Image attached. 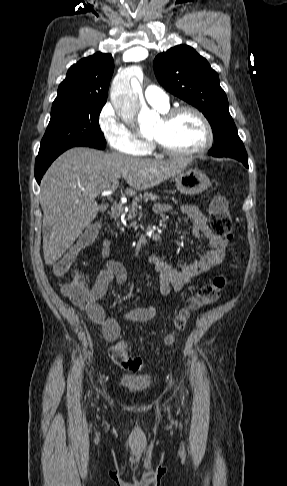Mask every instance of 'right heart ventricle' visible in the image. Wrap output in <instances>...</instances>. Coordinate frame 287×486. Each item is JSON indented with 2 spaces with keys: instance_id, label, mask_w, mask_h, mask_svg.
<instances>
[{
  "instance_id": "e07e8e85",
  "label": "right heart ventricle",
  "mask_w": 287,
  "mask_h": 486,
  "mask_svg": "<svg viewBox=\"0 0 287 486\" xmlns=\"http://www.w3.org/2000/svg\"><path fill=\"white\" fill-rule=\"evenodd\" d=\"M151 152V146L149 144H147L146 148L144 149V151L142 152L143 154H148Z\"/></svg>"
}]
</instances>
